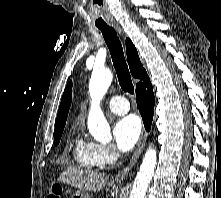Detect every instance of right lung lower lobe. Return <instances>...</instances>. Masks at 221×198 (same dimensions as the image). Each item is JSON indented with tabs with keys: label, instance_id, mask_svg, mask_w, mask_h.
Here are the masks:
<instances>
[{
	"label": "right lung lower lobe",
	"instance_id": "98d812e1",
	"mask_svg": "<svg viewBox=\"0 0 221 198\" xmlns=\"http://www.w3.org/2000/svg\"><path fill=\"white\" fill-rule=\"evenodd\" d=\"M136 102L137 107L141 113L144 125L146 130H150L153 112L155 97L153 94V88L150 82V79L142 82L139 86L136 87Z\"/></svg>",
	"mask_w": 221,
	"mask_h": 198
}]
</instances>
